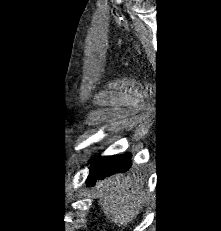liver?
Here are the masks:
<instances>
[{
  "label": "liver",
  "instance_id": "liver-1",
  "mask_svg": "<svg viewBox=\"0 0 221 231\" xmlns=\"http://www.w3.org/2000/svg\"><path fill=\"white\" fill-rule=\"evenodd\" d=\"M94 197L110 222L126 225L140 213L147 199L142 179L134 176L116 175L95 186Z\"/></svg>",
  "mask_w": 221,
  "mask_h": 231
}]
</instances>
